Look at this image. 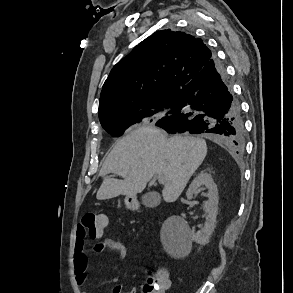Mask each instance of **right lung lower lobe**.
I'll return each mask as SVG.
<instances>
[{
  "label": "right lung lower lobe",
  "mask_w": 293,
  "mask_h": 293,
  "mask_svg": "<svg viewBox=\"0 0 293 293\" xmlns=\"http://www.w3.org/2000/svg\"><path fill=\"white\" fill-rule=\"evenodd\" d=\"M175 111L156 126L169 133L190 132L215 137L236 153L244 149V124L239 103L226 81L224 68L214 57L180 92Z\"/></svg>",
  "instance_id": "right-lung-lower-lobe-1"
}]
</instances>
